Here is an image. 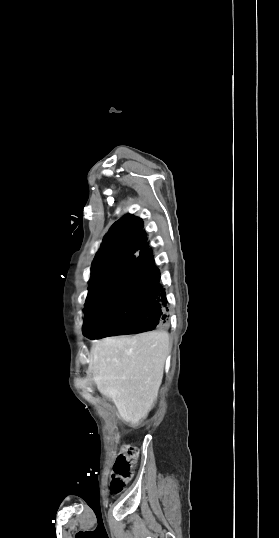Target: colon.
Returning <instances> with one entry per match:
<instances>
[{
    "instance_id": "colon-1",
    "label": "colon",
    "mask_w": 279,
    "mask_h": 538,
    "mask_svg": "<svg viewBox=\"0 0 279 538\" xmlns=\"http://www.w3.org/2000/svg\"><path fill=\"white\" fill-rule=\"evenodd\" d=\"M138 456V449L134 445H125L117 455L110 482V493L119 494L133 474V468Z\"/></svg>"
}]
</instances>
